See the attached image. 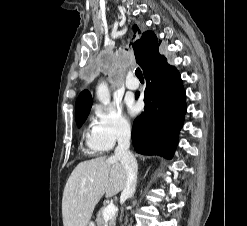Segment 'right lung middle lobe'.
<instances>
[{
    "mask_svg": "<svg viewBox=\"0 0 247 226\" xmlns=\"http://www.w3.org/2000/svg\"><path fill=\"white\" fill-rule=\"evenodd\" d=\"M89 111H90V110H88V111L85 112L84 114H82V115L76 117V123H77L78 126H80V125L83 124V122L85 121V119H86V117H87Z\"/></svg>",
    "mask_w": 247,
    "mask_h": 226,
    "instance_id": "obj_1",
    "label": "right lung middle lobe"
}]
</instances>
